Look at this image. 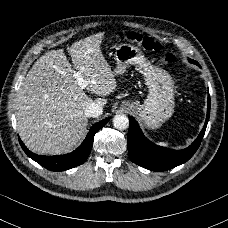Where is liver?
Segmentation results:
<instances>
[{
	"label": "liver",
	"instance_id": "1",
	"mask_svg": "<svg viewBox=\"0 0 228 228\" xmlns=\"http://www.w3.org/2000/svg\"><path fill=\"white\" fill-rule=\"evenodd\" d=\"M103 39L104 33H100L75 42L70 47L72 64L64 50H52L23 79L15 116L21 138L33 152L73 150L85 135L88 119L84 111L93 102L86 91L107 96L117 89L115 74L101 50ZM76 72L89 83L86 90L79 86ZM94 102L103 107L107 101L99 98Z\"/></svg>",
	"mask_w": 228,
	"mask_h": 228
}]
</instances>
